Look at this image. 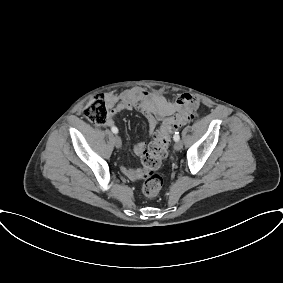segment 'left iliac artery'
<instances>
[{
	"instance_id": "left-iliac-artery-1",
	"label": "left iliac artery",
	"mask_w": 283,
	"mask_h": 283,
	"mask_svg": "<svg viewBox=\"0 0 283 283\" xmlns=\"http://www.w3.org/2000/svg\"><path fill=\"white\" fill-rule=\"evenodd\" d=\"M174 141H178L180 139L179 132H176L173 136Z\"/></svg>"
}]
</instances>
